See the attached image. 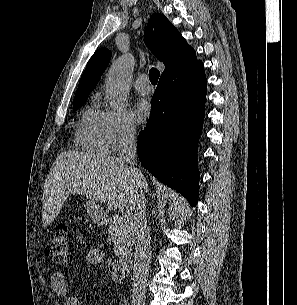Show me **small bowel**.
Wrapping results in <instances>:
<instances>
[{
	"label": "small bowel",
	"instance_id": "1",
	"mask_svg": "<svg viewBox=\"0 0 297 305\" xmlns=\"http://www.w3.org/2000/svg\"><path fill=\"white\" fill-rule=\"evenodd\" d=\"M86 261L89 265H99L103 262L107 263L112 279L116 283H121L124 279V272L116 261L106 259L105 252L100 249H93L87 253ZM51 287L58 294L63 295L64 305H81L80 300L68 293L69 284L66 275L62 272H55L51 277Z\"/></svg>",
	"mask_w": 297,
	"mask_h": 305
}]
</instances>
